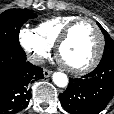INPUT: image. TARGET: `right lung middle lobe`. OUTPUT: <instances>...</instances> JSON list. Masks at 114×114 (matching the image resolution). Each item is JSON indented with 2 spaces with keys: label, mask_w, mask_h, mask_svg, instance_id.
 Wrapping results in <instances>:
<instances>
[{
  "label": "right lung middle lobe",
  "mask_w": 114,
  "mask_h": 114,
  "mask_svg": "<svg viewBox=\"0 0 114 114\" xmlns=\"http://www.w3.org/2000/svg\"><path fill=\"white\" fill-rule=\"evenodd\" d=\"M36 15L27 9H9L0 15V51L24 52L18 37L21 26Z\"/></svg>",
  "instance_id": "dd1d6c3e"
}]
</instances>
